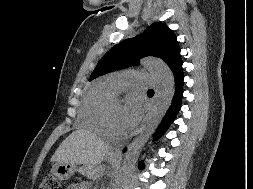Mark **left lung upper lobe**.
Returning a JSON list of instances; mask_svg holds the SVG:
<instances>
[{
	"mask_svg": "<svg viewBox=\"0 0 253 189\" xmlns=\"http://www.w3.org/2000/svg\"><path fill=\"white\" fill-rule=\"evenodd\" d=\"M155 56L163 59L173 71L181 62L176 35L164 23H153L142 34L112 47L98 62L90 76L94 78L137 65L140 58Z\"/></svg>",
	"mask_w": 253,
	"mask_h": 189,
	"instance_id": "left-lung-upper-lobe-1",
	"label": "left lung upper lobe"
}]
</instances>
